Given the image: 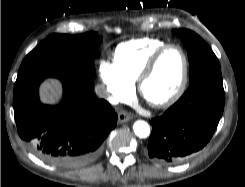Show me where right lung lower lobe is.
Masks as SVG:
<instances>
[{"label":"right lung lower lobe","mask_w":245,"mask_h":187,"mask_svg":"<svg viewBox=\"0 0 245 187\" xmlns=\"http://www.w3.org/2000/svg\"><path fill=\"white\" fill-rule=\"evenodd\" d=\"M46 77L63 84L58 106L43 105L38 88ZM93 75L53 65L19 71L14 86V115L18 133L45 162L64 169L83 167L94 161L101 144L117 125L110 104L93 93Z\"/></svg>","instance_id":"obj_1"}]
</instances>
